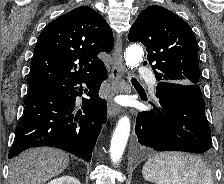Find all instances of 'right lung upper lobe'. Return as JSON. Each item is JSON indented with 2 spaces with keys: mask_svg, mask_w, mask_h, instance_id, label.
Returning a JSON list of instances; mask_svg holds the SVG:
<instances>
[{
  "mask_svg": "<svg viewBox=\"0 0 224 184\" xmlns=\"http://www.w3.org/2000/svg\"><path fill=\"white\" fill-rule=\"evenodd\" d=\"M113 45L110 26L92 8L78 7L58 17L39 35L31 63L30 89L100 72L104 63L98 54L111 52Z\"/></svg>",
  "mask_w": 224,
  "mask_h": 184,
  "instance_id": "right-lung-upper-lobe-1",
  "label": "right lung upper lobe"
}]
</instances>
